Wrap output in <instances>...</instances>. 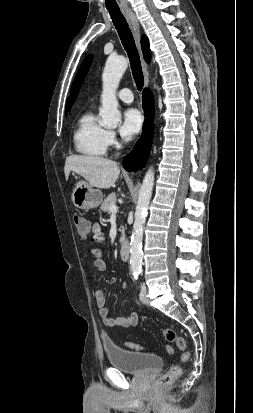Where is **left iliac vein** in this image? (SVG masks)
I'll return each mask as SVG.
<instances>
[{"instance_id":"left-iliac-vein-1","label":"left iliac vein","mask_w":253,"mask_h":413,"mask_svg":"<svg viewBox=\"0 0 253 413\" xmlns=\"http://www.w3.org/2000/svg\"><path fill=\"white\" fill-rule=\"evenodd\" d=\"M140 300L142 303H147L148 302V298H147V290H146V286L143 284L141 287V291L139 294Z\"/></svg>"}]
</instances>
